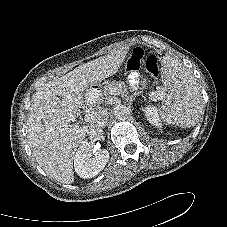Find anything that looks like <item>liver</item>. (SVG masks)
I'll return each instance as SVG.
<instances>
[{"label": "liver", "instance_id": "liver-1", "mask_svg": "<svg viewBox=\"0 0 227 227\" xmlns=\"http://www.w3.org/2000/svg\"><path fill=\"white\" fill-rule=\"evenodd\" d=\"M128 50L125 46L82 64L49 81L32 96L27 119L29 144L38 164L58 182H74V155L89 134L88 126L74 122L89 102L88 87L114 75Z\"/></svg>", "mask_w": 227, "mask_h": 227}]
</instances>
